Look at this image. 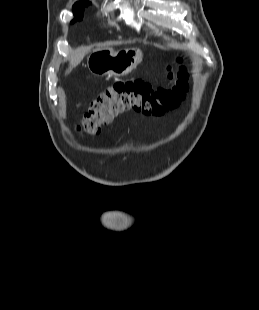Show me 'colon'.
I'll list each match as a JSON object with an SVG mask.
<instances>
[{
  "label": "colon",
  "mask_w": 259,
  "mask_h": 310,
  "mask_svg": "<svg viewBox=\"0 0 259 310\" xmlns=\"http://www.w3.org/2000/svg\"><path fill=\"white\" fill-rule=\"evenodd\" d=\"M168 70L173 76L171 67ZM187 79V71L180 67L176 81L168 87L154 88L139 79L118 81L90 103L81 126L88 134H96L116 116L129 110L148 115L162 114L183 100L188 88Z\"/></svg>",
  "instance_id": "colon-1"
}]
</instances>
